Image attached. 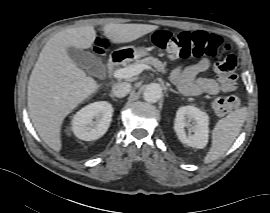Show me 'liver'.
<instances>
[{
  "instance_id": "liver-1",
  "label": "liver",
  "mask_w": 270,
  "mask_h": 213,
  "mask_svg": "<svg viewBox=\"0 0 270 213\" xmlns=\"http://www.w3.org/2000/svg\"><path fill=\"white\" fill-rule=\"evenodd\" d=\"M158 28L148 24H107L102 30L113 43L134 41ZM96 39L93 26L64 29L44 45L30 75L29 116L41 139L59 152L65 117L101 87L69 57L67 48L88 49Z\"/></svg>"
}]
</instances>
